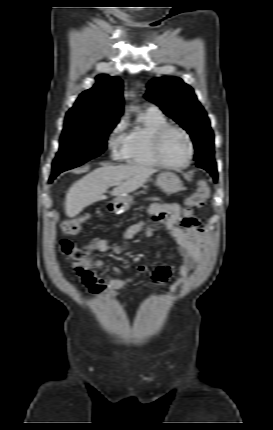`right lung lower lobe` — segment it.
Listing matches in <instances>:
<instances>
[{"mask_svg":"<svg viewBox=\"0 0 273 430\" xmlns=\"http://www.w3.org/2000/svg\"><path fill=\"white\" fill-rule=\"evenodd\" d=\"M55 177L56 176L52 175L51 178L49 179V181L52 182Z\"/></svg>","mask_w":273,"mask_h":430,"instance_id":"obj_1","label":"right lung lower lobe"}]
</instances>
